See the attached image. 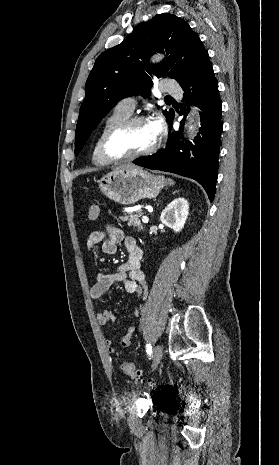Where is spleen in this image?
I'll list each match as a JSON object with an SVG mask.
<instances>
[{
  "label": "spleen",
  "instance_id": "3e777b00",
  "mask_svg": "<svg viewBox=\"0 0 279 465\" xmlns=\"http://www.w3.org/2000/svg\"><path fill=\"white\" fill-rule=\"evenodd\" d=\"M168 181H169L170 184H172V185L174 184L173 180L169 179Z\"/></svg>",
  "mask_w": 279,
  "mask_h": 465
}]
</instances>
